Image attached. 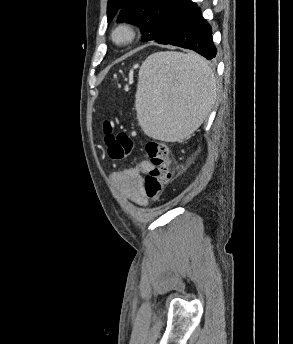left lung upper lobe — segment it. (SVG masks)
<instances>
[{
    "instance_id": "5c2ea615",
    "label": "left lung upper lobe",
    "mask_w": 293,
    "mask_h": 344,
    "mask_svg": "<svg viewBox=\"0 0 293 344\" xmlns=\"http://www.w3.org/2000/svg\"><path fill=\"white\" fill-rule=\"evenodd\" d=\"M191 0H108L107 18L116 14L141 28L143 41L161 42L168 37L188 11Z\"/></svg>"
}]
</instances>
